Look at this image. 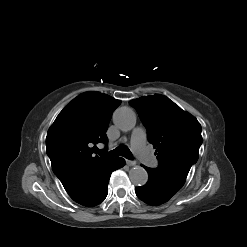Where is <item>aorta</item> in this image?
Here are the masks:
<instances>
[{"label":"aorta","mask_w":247,"mask_h":247,"mask_svg":"<svg viewBox=\"0 0 247 247\" xmlns=\"http://www.w3.org/2000/svg\"><path fill=\"white\" fill-rule=\"evenodd\" d=\"M115 126L121 131H130L136 125V114L128 107L118 108L113 115ZM129 177L134 185L142 186L148 180V174L144 168L136 166L130 169Z\"/></svg>","instance_id":"762f6f07"}]
</instances>
